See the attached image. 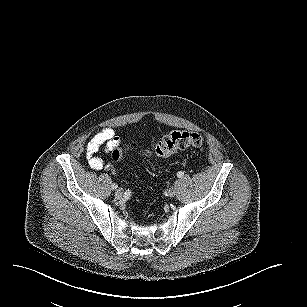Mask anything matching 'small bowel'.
I'll return each mask as SVG.
<instances>
[{
    "label": "small bowel",
    "mask_w": 307,
    "mask_h": 307,
    "mask_svg": "<svg viewBox=\"0 0 307 307\" xmlns=\"http://www.w3.org/2000/svg\"><path fill=\"white\" fill-rule=\"evenodd\" d=\"M120 144V139L115 135L112 128L106 127L98 131L90 139L86 146L85 156L89 166L94 170H102L107 166L98 152L103 148L106 152L113 150ZM113 173H116L112 168Z\"/></svg>",
    "instance_id": "c3829d8e"
}]
</instances>
